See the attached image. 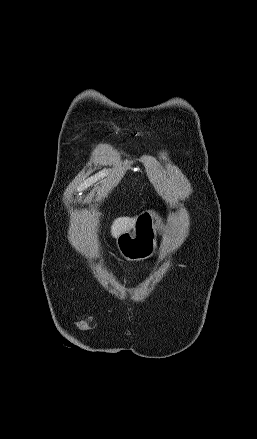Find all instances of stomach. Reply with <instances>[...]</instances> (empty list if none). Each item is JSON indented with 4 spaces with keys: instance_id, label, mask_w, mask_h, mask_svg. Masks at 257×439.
I'll list each match as a JSON object with an SVG mask.
<instances>
[{
    "instance_id": "1",
    "label": "stomach",
    "mask_w": 257,
    "mask_h": 439,
    "mask_svg": "<svg viewBox=\"0 0 257 439\" xmlns=\"http://www.w3.org/2000/svg\"><path fill=\"white\" fill-rule=\"evenodd\" d=\"M165 220L156 212L146 210L135 221L132 232L122 233L116 240L117 249L126 260L140 261L151 257L157 247V231L164 232Z\"/></svg>"
}]
</instances>
